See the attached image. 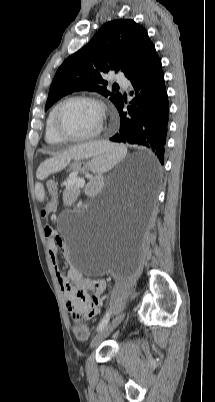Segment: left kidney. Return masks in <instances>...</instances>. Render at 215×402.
<instances>
[{
	"label": "left kidney",
	"instance_id": "5707ae66",
	"mask_svg": "<svg viewBox=\"0 0 215 402\" xmlns=\"http://www.w3.org/2000/svg\"><path fill=\"white\" fill-rule=\"evenodd\" d=\"M99 175H102V172H99ZM89 184L90 185H88L87 190H88V192L93 193V192H95L96 187L101 186L102 181L100 178H91L89 181Z\"/></svg>",
	"mask_w": 215,
	"mask_h": 402
}]
</instances>
